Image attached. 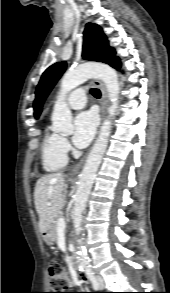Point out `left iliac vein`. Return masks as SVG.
Listing matches in <instances>:
<instances>
[{
	"label": "left iliac vein",
	"mask_w": 170,
	"mask_h": 293,
	"mask_svg": "<svg viewBox=\"0 0 170 293\" xmlns=\"http://www.w3.org/2000/svg\"><path fill=\"white\" fill-rule=\"evenodd\" d=\"M96 279L98 281L99 289H103L105 287L104 278L101 275H96Z\"/></svg>",
	"instance_id": "obj_1"
}]
</instances>
